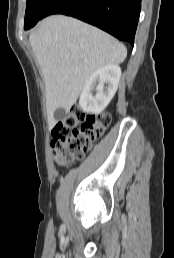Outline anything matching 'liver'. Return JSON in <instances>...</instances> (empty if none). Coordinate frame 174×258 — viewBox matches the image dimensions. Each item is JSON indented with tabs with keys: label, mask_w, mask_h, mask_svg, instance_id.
<instances>
[{
	"label": "liver",
	"mask_w": 174,
	"mask_h": 258,
	"mask_svg": "<svg viewBox=\"0 0 174 258\" xmlns=\"http://www.w3.org/2000/svg\"><path fill=\"white\" fill-rule=\"evenodd\" d=\"M29 41L45 82L49 128L57 122L54 112H69L92 73L127 56L126 47L112 36L64 15L45 18Z\"/></svg>",
	"instance_id": "1"
}]
</instances>
